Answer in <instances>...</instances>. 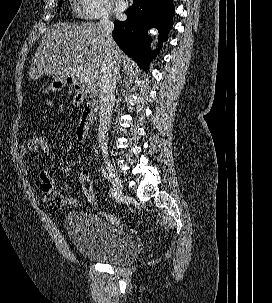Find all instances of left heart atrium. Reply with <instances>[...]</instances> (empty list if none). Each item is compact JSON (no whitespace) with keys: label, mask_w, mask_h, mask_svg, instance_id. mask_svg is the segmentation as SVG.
Here are the masks:
<instances>
[{"label":"left heart atrium","mask_w":272,"mask_h":303,"mask_svg":"<svg viewBox=\"0 0 272 303\" xmlns=\"http://www.w3.org/2000/svg\"><path fill=\"white\" fill-rule=\"evenodd\" d=\"M126 9L125 0H117L115 3V10L118 14L122 13Z\"/></svg>","instance_id":"1"}]
</instances>
